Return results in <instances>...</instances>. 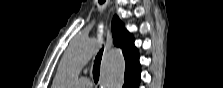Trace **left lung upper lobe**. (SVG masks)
<instances>
[{
  "label": "left lung upper lobe",
  "instance_id": "5c2ea615",
  "mask_svg": "<svg viewBox=\"0 0 223 88\" xmlns=\"http://www.w3.org/2000/svg\"><path fill=\"white\" fill-rule=\"evenodd\" d=\"M112 35L114 45L122 48L126 66L139 65V55L134 46V40L127 32L118 16H114L112 20Z\"/></svg>",
  "mask_w": 223,
  "mask_h": 88
}]
</instances>
